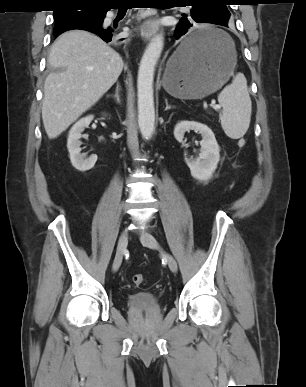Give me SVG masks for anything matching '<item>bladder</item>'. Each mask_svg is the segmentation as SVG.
I'll return each instance as SVG.
<instances>
[{
  "instance_id": "obj_1",
  "label": "bladder",
  "mask_w": 306,
  "mask_h": 387,
  "mask_svg": "<svg viewBox=\"0 0 306 387\" xmlns=\"http://www.w3.org/2000/svg\"><path fill=\"white\" fill-rule=\"evenodd\" d=\"M129 310H157L160 308L158 297L150 292H136L127 299Z\"/></svg>"
}]
</instances>
